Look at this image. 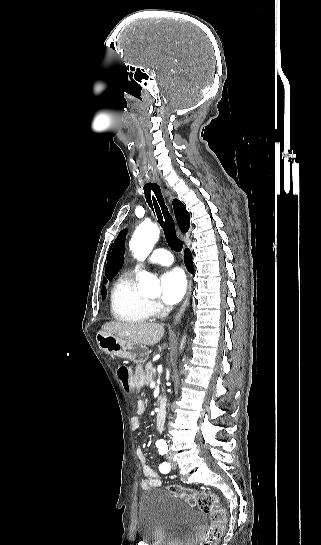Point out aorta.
Listing matches in <instances>:
<instances>
[{
  "instance_id": "aorta-1",
  "label": "aorta",
  "mask_w": 321,
  "mask_h": 545,
  "mask_svg": "<svg viewBox=\"0 0 321 545\" xmlns=\"http://www.w3.org/2000/svg\"><path fill=\"white\" fill-rule=\"evenodd\" d=\"M159 234L160 230L156 224L142 223L139 225L130 240V249L134 257L139 261H144L158 241ZM138 290L142 294H156L160 287L155 276L143 271L140 274Z\"/></svg>"
}]
</instances>
